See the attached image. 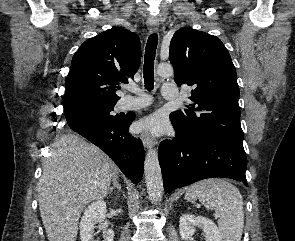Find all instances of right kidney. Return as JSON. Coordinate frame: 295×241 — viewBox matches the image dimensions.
Wrapping results in <instances>:
<instances>
[{"label":"right kidney","mask_w":295,"mask_h":241,"mask_svg":"<svg viewBox=\"0 0 295 241\" xmlns=\"http://www.w3.org/2000/svg\"><path fill=\"white\" fill-rule=\"evenodd\" d=\"M106 212L107 206L102 200L93 202L85 209L79 226L81 241H94V229L98 223V228L103 230L104 241H113L114 231L107 229L106 222H104Z\"/></svg>","instance_id":"1"}]
</instances>
